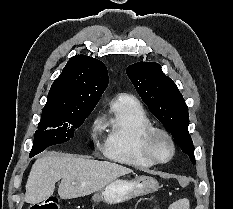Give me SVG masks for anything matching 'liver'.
<instances>
[{"mask_svg":"<svg viewBox=\"0 0 233 209\" xmlns=\"http://www.w3.org/2000/svg\"><path fill=\"white\" fill-rule=\"evenodd\" d=\"M132 172L130 168L109 161L51 153L33 164L26 183L25 201L29 204L43 202L53 195L60 179L58 195L62 199H72L97 192Z\"/></svg>","mask_w":233,"mask_h":209,"instance_id":"obj_1","label":"liver"}]
</instances>
